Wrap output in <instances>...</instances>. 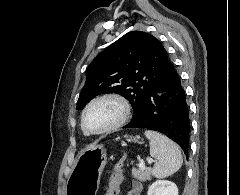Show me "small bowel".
<instances>
[{
	"label": "small bowel",
	"instance_id": "1",
	"mask_svg": "<svg viewBox=\"0 0 240 195\" xmlns=\"http://www.w3.org/2000/svg\"><path fill=\"white\" fill-rule=\"evenodd\" d=\"M143 191V185L139 181H132L130 189L126 195H141Z\"/></svg>",
	"mask_w": 240,
	"mask_h": 195
}]
</instances>
